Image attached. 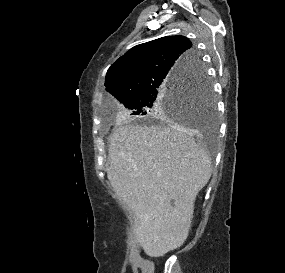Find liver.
Segmentation results:
<instances>
[{"mask_svg": "<svg viewBox=\"0 0 285 273\" xmlns=\"http://www.w3.org/2000/svg\"><path fill=\"white\" fill-rule=\"evenodd\" d=\"M107 177L136 216L150 257L182 246L198 192L212 174L209 154L178 126L124 125L113 131Z\"/></svg>", "mask_w": 285, "mask_h": 273, "instance_id": "1", "label": "liver"}]
</instances>
